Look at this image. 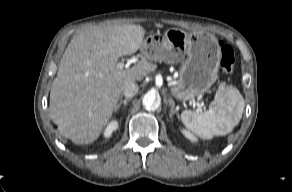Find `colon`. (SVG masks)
Listing matches in <instances>:
<instances>
[{
  "label": "colon",
  "mask_w": 292,
  "mask_h": 192,
  "mask_svg": "<svg viewBox=\"0 0 292 192\" xmlns=\"http://www.w3.org/2000/svg\"><path fill=\"white\" fill-rule=\"evenodd\" d=\"M235 63V54L231 46L220 44V65L225 73H231Z\"/></svg>",
  "instance_id": "colon-1"
}]
</instances>
